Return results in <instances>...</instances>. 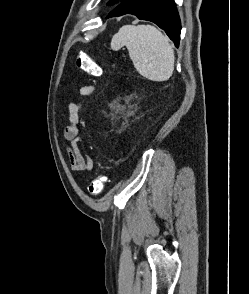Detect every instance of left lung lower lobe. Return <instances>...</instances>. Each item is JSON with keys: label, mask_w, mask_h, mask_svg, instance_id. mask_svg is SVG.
Returning a JSON list of instances; mask_svg holds the SVG:
<instances>
[{"label": "left lung lower lobe", "mask_w": 249, "mask_h": 294, "mask_svg": "<svg viewBox=\"0 0 249 294\" xmlns=\"http://www.w3.org/2000/svg\"><path fill=\"white\" fill-rule=\"evenodd\" d=\"M128 13L154 22L179 46L181 24L174 0H124L107 18Z\"/></svg>", "instance_id": "obj_1"}]
</instances>
